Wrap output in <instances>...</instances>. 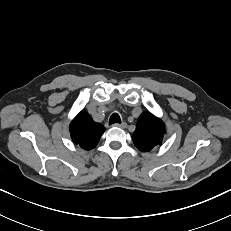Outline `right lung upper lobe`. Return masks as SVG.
<instances>
[{"mask_svg":"<svg viewBox=\"0 0 231 231\" xmlns=\"http://www.w3.org/2000/svg\"><path fill=\"white\" fill-rule=\"evenodd\" d=\"M104 131L105 128L100 123L93 121L84 110L70 124L72 140L86 150H90L98 144Z\"/></svg>","mask_w":231,"mask_h":231,"instance_id":"right-lung-upper-lobe-1","label":"right lung upper lobe"}]
</instances>
